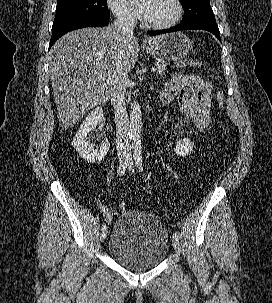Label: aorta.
Wrapping results in <instances>:
<instances>
[{"label":"aorta","instance_id":"762f6f07","mask_svg":"<svg viewBox=\"0 0 272 303\" xmlns=\"http://www.w3.org/2000/svg\"><path fill=\"white\" fill-rule=\"evenodd\" d=\"M141 128H142V113L138 102L134 101L131 104L130 110V138L133 146H139L141 144Z\"/></svg>","mask_w":272,"mask_h":303}]
</instances>
